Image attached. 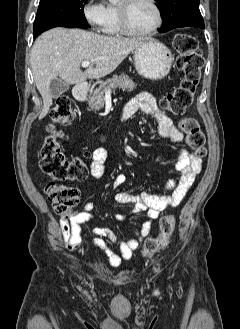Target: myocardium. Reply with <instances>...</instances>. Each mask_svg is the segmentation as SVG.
<instances>
[{
    "label": "myocardium",
    "mask_w": 240,
    "mask_h": 329,
    "mask_svg": "<svg viewBox=\"0 0 240 329\" xmlns=\"http://www.w3.org/2000/svg\"><path fill=\"white\" fill-rule=\"evenodd\" d=\"M135 2V0H122V3L118 6V14L120 21L121 32L124 35L132 36V37H144L154 34L163 23V14L160 6L158 5L156 0H148L151 6L154 8L156 13V22L152 27L143 31L133 30L129 25L128 20V7L130 4Z\"/></svg>",
    "instance_id": "1"
}]
</instances>
